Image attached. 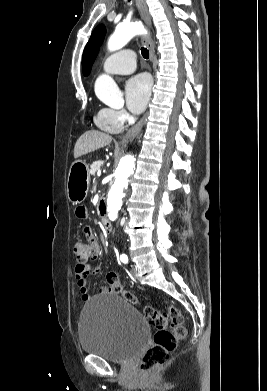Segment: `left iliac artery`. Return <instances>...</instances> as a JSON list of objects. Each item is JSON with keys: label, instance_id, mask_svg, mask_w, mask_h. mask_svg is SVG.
<instances>
[{"label": "left iliac artery", "instance_id": "left-iliac-artery-1", "mask_svg": "<svg viewBox=\"0 0 267 391\" xmlns=\"http://www.w3.org/2000/svg\"><path fill=\"white\" fill-rule=\"evenodd\" d=\"M120 259H121V261L123 263H127L128 262V257L125 254L121 255Z\"/></svg>", "mask_w": 267, "mask_h": 391}]
</instances>
